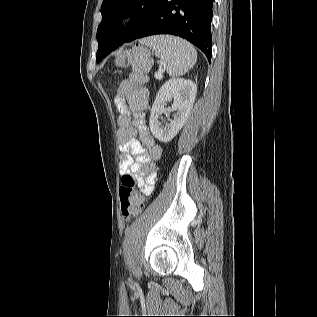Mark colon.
<instances>
[{
    "instance_id": "1",
    "label": "colon",
    "mask_w": 317,
    "mask_h": 317,
    "mask_svg": "<svg viewBox=\"0 0 317 317\" xmlns=\"http://www.w3.org/2000/svg\"><path fill=\"white\" fill-rule=\"evenodd\" d=\"M151 61L147 57L138 54L123 53L115 60L118 68L131 67V80L135 83H143L146 79L145 73L150 68ZM121 213L125 220L138 216L144 206L143 197L135 189V178L131 174L122 177V184L119 189Z\"/></svg>"
}]
</instances>
